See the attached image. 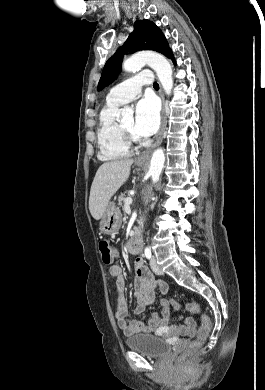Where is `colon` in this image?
<instances>
[{"mask_svg":"<svg viewBox=\"0 0 265 390\" xmlns=\"http://www.w3.org/2000/svg\"><path fill=\"white\" fill-rule=\"evenodd\" d=\"M99 251L101 254V259L104 265H110L115 257L114 249L111 246L110 242L107 240H101L99 242ZM170 304L174 307L175 310L185 309L186 311L197 314L200 312V308L196 303H186L181 304L175 300H171ZM202 324L197 332V338L191 343L188 351L183 357V360H188L194 353H196L203 341H205L211 332V322L206 315L201 317Z\"/></svg>","mask_w":265,"mask_h":390,"instance_id":"obj_1","label":"colon"}]
</instances>
